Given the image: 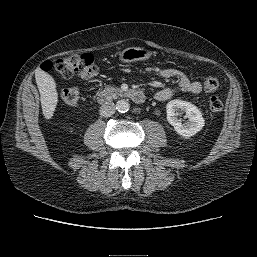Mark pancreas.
<instances>
[{"mask_svg":"<svg viewBox=\"0 0 257 257\" xmlns=\"http://www.w3.org/2000/svg\"><path fill=\"white\" fill-rule=\"evenodd\" d=\"M106 91L109 93V94H112V95H116V94H119L122 92V90L118 87H113V86H106Z\"/></svg>","mask_w":257,"mask_h":257,"instance_id":"1","label":"pancreas"}]
</instances>
